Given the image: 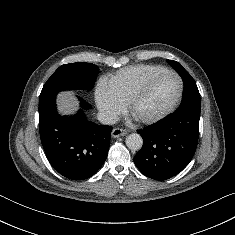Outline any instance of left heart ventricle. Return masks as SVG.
I'll use <instances>...</instances> for the list:
<instances>
[{
  "label": "left heart ventricle",
  "mask_w": 235,
  "mask_h": 235,
  "mask_svg": "<svg viewBox=\"0 0 235 235\" xmlns=\"http://www.w3.org/2000/svg\"><path fill=\"white\" fill-rule=\"evenodd\" d=\"M179 83L173 76L155 80L133 111L136 118L154 117L167 109L177 96Z\"/></svg>",
  "instance_id": "left-heart-ventricle-1"
}]
</instances>
